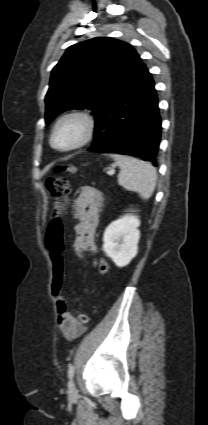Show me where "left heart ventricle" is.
I'll use <instances>...</instances> for the list:
<instances>
[{"label": "left heart ventricle", "instance_id": "obj_1", "mask_svg": "<svg viewBox=\"0 0 208 425\" xmlns=\"http://www.w3.org/2000/svg\"><path fill=\"white\" fill-rule=\"evenodd\" d=\"M81 133V125L76 121L63 124L55 137V144L67 146L76 141Z\"/></svg>", "mask_w": 208, "mask_h": 425}]
</instances>
